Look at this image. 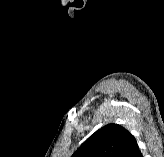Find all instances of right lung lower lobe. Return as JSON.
<instances>
[{
	"instance_id": "98d812e1",
	"label": "right lung lower lobe",
	"mask_w": 164,
	"mask_h": 157,
	"mask_svg": "<svg viewBox=\"0 0 164 157\" xmlns=\"http://www.w3.org/2000/svg\"><path fill=\"white\" fill-rule=\"evenodd\" d=\"M128 157H143L138 145L133 148Z\"/></svg>"
}]
</instances>
